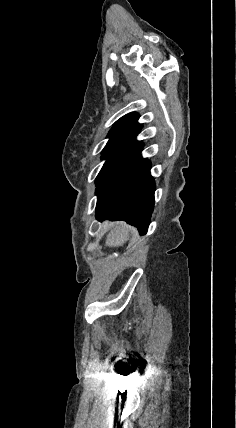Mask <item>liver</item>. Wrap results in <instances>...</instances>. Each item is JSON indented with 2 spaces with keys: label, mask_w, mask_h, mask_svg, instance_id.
I'll list each match as a JSON object with an SVG mask.
<instances>
[{
  "label": "liver",
  "mask_w": 236,
  "mask_h": 428,
  "mask_svg": "<svg viewBox=\"0 0 236 428\" xmlns=\"http://www.w3.org/2000/svg\"><path fill=\"white\" fill-rule=\"evenodd\" d=\"M133 230L134 228L127 226L125 222H114V224H111V230L106 238L105 246H109V248L124 246Z\"/></svg>",
  "instance_id": "1"
}]
</instances>
